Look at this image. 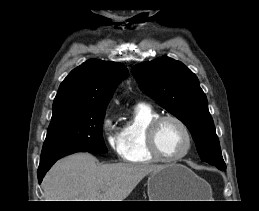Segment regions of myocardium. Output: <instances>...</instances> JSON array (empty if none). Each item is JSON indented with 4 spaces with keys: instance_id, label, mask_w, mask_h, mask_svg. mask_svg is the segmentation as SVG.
Listing matches in <instances>:
<instances>
[{
    "instance_id": "1",
    "label": "myocardium",
    "mask_w": 259,
    "mask_h": 211,
    "mask_svg": "<svg viewBox=\"0 0 259 211\" xmlns=\"http://www.w3.org/2000/svg\"><path fill=\"white\" fill-rule=\"evenodd\" d=\"M165 121L176 122L182 128L186 136V140H187L186 147L177 156H173V157L165 156L159 148L158 141H157L158 130ZM146 143H147L149 152L155 159L165 161V162H176L188 155V153L190 152L193 146V137L190 129L182 119H180L175 115L168 114V115L158 116L149 124L146 130Z\"/></svg>"
}]
</instances>
